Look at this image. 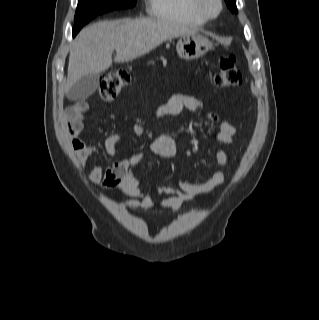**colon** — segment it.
Returning a JSON list of instances; mask_svg holds the SVG:
<instances>
[{
    "mask_svg": "<svg viewBox=\"0 0 319 320\" xmlns=\"http://www.w3.org/2000/svg\"><path fill=\"white\" fill-rule=\"evenodd\" d=\"M130 73L123 68L115 69L104 75L100 82L99 96L104 102L114 101L122 89L130 82ZM241 73L235 65V59L231 55H221L219 58V71L213 76V83L220 88H231L240 84ZM121 162H116L111 166L108 176L112 177V172L121 170Z\"/></svg>",
    "mask_w": 319,
    "mask_h": 320,
    "instance_id": "1",
    "label": "colon"
}]
</instances>
